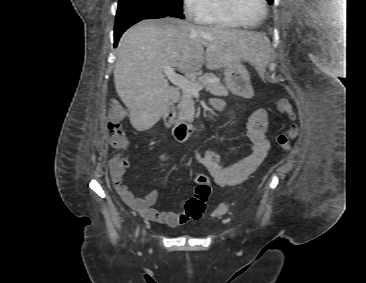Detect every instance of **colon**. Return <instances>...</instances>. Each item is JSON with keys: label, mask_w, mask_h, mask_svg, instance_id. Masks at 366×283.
Masks as SVG:
<instances>
[{"label": "colon", "mask_w": 366, "mask_h": 283, "mask_svg": "<svg viewBox=\"0 0 366 283\" xmlns=\"http://www.w3.org/2000/svg\"><path fill=\"white\" fill-rule=\"evenodd\" d=\"M277 109L285 114L291 121H294L295 114L291 104L286 99H280L277 102ZM125 116V111L119 102L114 101L108 109V130L110 132V145L117 149H126L129 145L128 139L123 131L120 122ZM298 127L292 122L276 138L277 144L284 152L291 149V141L297 136ZM119 162L122 166H128L129 162L125 157L119 156ZM211 193V186L208 177L205 174L195 176V195L188 199L185 204L184 216L188 219H200L205 211L206 203ZM230 205L227 203L219 204L214 210V216H221L228 212Z\"/></svg>", "instance_id": "5ec220e1"}]
</instances>
